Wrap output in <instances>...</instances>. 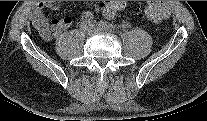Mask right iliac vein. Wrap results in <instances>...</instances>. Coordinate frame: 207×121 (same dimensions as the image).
<instances>
[{
  "label": "right iliac vein",
  "mask_w": 207,
  "mask_h": 121,
  "mask_svg": "<svg viewBox=\"0 0 207 121\" xmlns=\"http://www.w3.org/2000/svg\"><path fill=\"white\" fill-rule=\"evenodd\" d=\"M81 28L86 34H91L93 31L92 24H90L88 22H82Z\"/></svg>",
  "instance_id": "63e3f726"
}]
</instances>
